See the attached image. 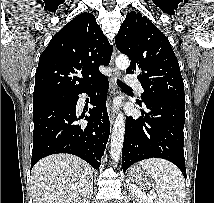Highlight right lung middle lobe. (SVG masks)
Instances as JSON below:
<instances>
[{
  "label": "right lung middle lobe",
  "instance_id": "right-lung-middle-lobe-1",
  "mask_svg": "<svg viewBox=\"0 0 214 203\" xmlns=\"http://www.w3.org/2000/svg\"><path fill=\"white\" fill-rule=\"evenodd\" d=\"M54 97V96H53ZM51 97H47V98H38V99H33V106L38 105L44 101H46L47 99H49Z\"/></svg>",
  "mask_w": 214,
  "mask_h": 203
}]
</instances>
